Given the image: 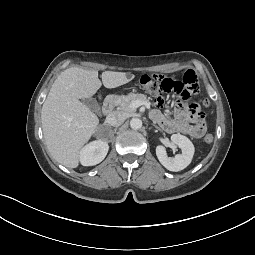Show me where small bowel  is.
I'll return each mask as SVG.
<instances>
[{
  "label": "small bowel",
  "mask_w": 255,
  "mask_h": 255,
  "mask_svg": "<svg viewBox=\"0 0 255 255\" xmlns=\"http://www.w3.org/2000/svg\"><path fill=\"white\" fill-rule=\"evenodd\" d=\"M152 116L169 133H182L192 138H200L206 131L205 125L198 122L196 115L183 107H177L174 117L163 115L157 110Z\"/></svg>",
  "instance_id": "1"
}]
</instances>
